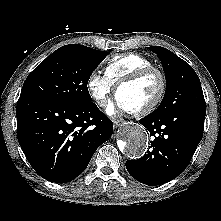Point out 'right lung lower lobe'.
Instances as JSON below:
<instances>
[{"instance_id":"obj_1","label":"right lung lower lobe","mask_w":221,"mask_h":221,"mask_svg":"<svg viewBox=\"0 0 221 221\" xmlns=\"http://www.w3.org/2000/svg\"><path fill=\"white\" fill-rule=\"evenodd\" d=\"M18 142L44 179L66 183L87 167L96 149L113 133V123L94 103L68 105L20 97L16 107Z\"/></svg>"}]
</instances>
